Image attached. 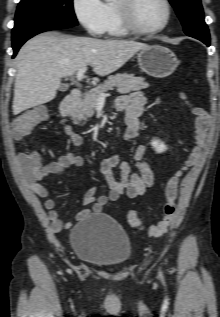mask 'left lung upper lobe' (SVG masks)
Here are the masks:
<instances>
[{
    "label": "left lung upper lobe",
    "instance_id": "1",
    "mask_svg": "<svg viewBox=\"0 0 220 317\" xmlns=\"http://www.w3.org/2000/svg\"><path fill=\"white\" fill-rule=\"evenodd\" d=\"M186 34L209 35L200 0H169Z\"/></svg>",
    "mask_w": 220,
    "mask_h": 317
}]
</instances>
